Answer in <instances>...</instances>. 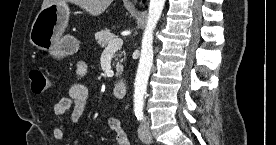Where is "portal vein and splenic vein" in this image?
<instances>
[{
  "label": "portal vein and splenic vein",
  "mask_w": 276,
  "mask_h": 145,
  "mask_svg": "<svg viewBox=\"0 0 276 145\" xmlns=\"http://www.w3.org/2000/svg\"><path fill=\"white\" fill-rule=\"evenodd\" d=\"M123 44V40L120 39V38H114L112 39L111 41H109L105 51H116L118 50L119 48H121Z\"/></svg>",
  "instance_id": "1"
}]
</instances>
